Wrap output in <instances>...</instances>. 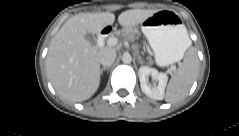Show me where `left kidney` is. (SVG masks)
Masks as SVG:
<instances>
[{
	"label": "left kidney",
	"instance_id": "obj_1",
	"mask_svg": "<svg viewBox=\"0 0 239 136\" xmlns=\"http://www.w3.org/2000/svg\"><path fill=\"white\" fill-rule=\"evenodd\" d=\"M138 75L140 87L144 94L155 100H162L164 98L165 88L168 81V76L165 73H160L155 68L141 66ZM149 76L158 81L157 86H151L148 84Z\"/></svg>",
	"mask_w": 239,
	"mask_h": 136
}]
</instances>
